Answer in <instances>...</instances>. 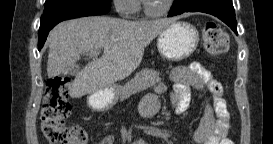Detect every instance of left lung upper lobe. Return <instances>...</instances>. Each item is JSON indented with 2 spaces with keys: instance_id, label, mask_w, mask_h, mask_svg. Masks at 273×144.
<instances>
[{
  "instance_id": "1",
  "label": "left lung upper lobe",
  "mask_w": 273,
  "mask_h": 144,
  "mask_svg": "<svg viewBox=\"0 0 273 144\" xmlns=\"http://www.w3.org/2000/svg\"><path fill=\"white\" fill-rule=\"evenodd\" d=\"M179 1H180V0H175L174 3H175V2H179Z\"/></svg>"
}]
</instances>
